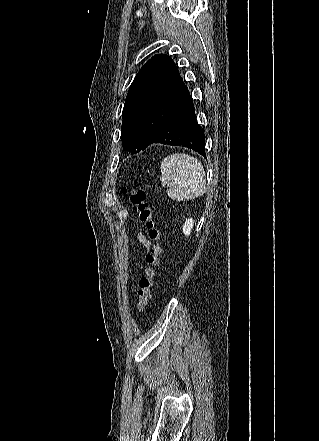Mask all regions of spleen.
<instances>
[{
  "label": "spleen",
  "instance_id": "1",
  "mask_svg": "<svg viewBox=\"0 0 319 441\" xmlns=\"http://www.w3.org/2000/svg\"><path fill=\"white\" fill-rule=\"evenodd\" d=\"M161 184L168 185L172 200L187 201L206 191L205 171L201 162L186 153H173L161 162Z\"/></svg>",
  "mask_w": 319,
  "mask_h": 441
}]
</instances>
